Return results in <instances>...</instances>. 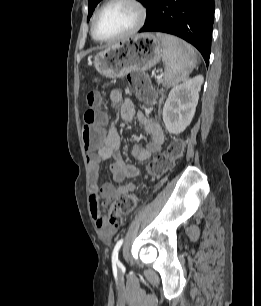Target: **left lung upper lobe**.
I'll return each instance as SVG.
<instances>
[{
    "instance_id": "obj_1",
    "label": "left lung upper lobe",
    "mask_w": 261,
    "mask_h": 306,
    "mask_svg": "<svg viewBox=\"0 0 261 306\" xmlns=\"http://www.w3.org/2000/svg\"><path fill=\"white\" fill-rule=\"evenodd\" d=\"M101 0H88L89 4V13H88V20L90 19L96 5L100 2ZM140 3H142L145 7L148 5L150 0H138Z\"/></svg>"
}]
</instances>
